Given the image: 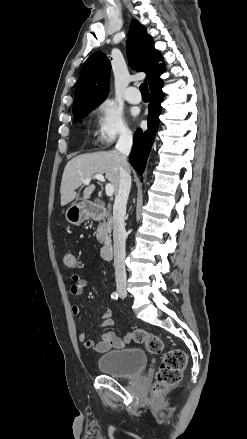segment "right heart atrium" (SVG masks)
Returning a JSON list of instances; mask_svg holds the SVG:
<instances>
[{"mask_svg": "<svg viewBox=\"0 0 247 439\" xmlns=\"http://www.w3.org/2000/svg\"><path fill=\"white\" fill-rule=\"evenodd\" d=\"M96 141L103 147L130 137L131 131L120 110L110 101L96 108Z\"/></svg>", "mask_w": 247, "mask_h": 439, "instance_id": "right-heart-atrium-1", "label": "right heart atrium"}]
</instances>
